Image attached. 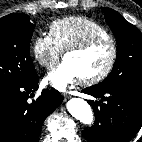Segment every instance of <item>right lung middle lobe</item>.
Masks as SVG:
<instances>
[{"label": "right lung middle lobe", "instance_id": "dd1d6c3e", "mask_svg": "<svg viewBox=\"0 0 142 142\" xmlns=\"http://www.w3.org/2000/svg\"><path fill=\"white\" fill-rule=\"evenodd\" d=\"M34 28L26 14L12 13L0 19V91L25 84L37 75L29 45Z\"/></svg>", "mask_w": 142, "mask_h": 142}]
</instances>
